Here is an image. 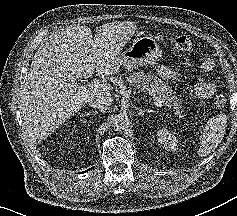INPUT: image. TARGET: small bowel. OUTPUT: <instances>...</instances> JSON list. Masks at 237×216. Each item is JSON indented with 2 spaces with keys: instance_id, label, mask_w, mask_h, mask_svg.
<instances>
[{
  "instance_id": "small-bowel-1",
  "label": "small bowel",
  "mask_w": 237,
  "mask_h": 216,
  "mask_svg": "<svg viewBox=\"0 0 237 216\" xmlns=\"http://www.w3.org/2000/svg\"><path fill=\"white\" fill-rule=\"evenodd\" d=\"M186 64H188L187 61ZM213 69H214V63L210 59L204 60L203 63L201 64V72L205 76H209L210 73L213 71ZM156 71L157 74L162 79L165 80H176L178 78V75L174 71H172L169 67L164 65L158 66ZM213 93H214V85L210 81L207 80L201 81L195 87V95L199 98H209L212 96Z\"/></svg>"
}]
</instances>
